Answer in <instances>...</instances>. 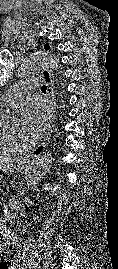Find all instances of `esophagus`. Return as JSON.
Segmentation results:
<instances>
[{"instance_id":"esophagus-1","label":"esophagus","mask_w":118,"mask_h":269,"mask_svg":"<svg viewBox=\"0 0 118 269\" xmlns=\"http://www.w3.org/2000/svg\"><path fill=\"white\" fill-rule=\"evenodd\" d=\"M41 75H42V78L45 81L46 86H47V98H48L49 104H50L49 124L47 126L46 134H45V137H44L42 143L38 147L33 149L27 156L21 158L22 160L34 159V158L39 157L44 152V150L49 142V139L51 137V134L53 132V129H54L53 122L55 119V111H56V97H55V91H54V80H53L51 71L48 69L42 70Z\"/></svg>"}]
</instances>
